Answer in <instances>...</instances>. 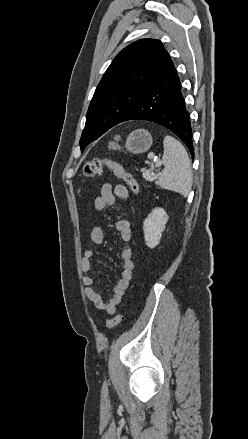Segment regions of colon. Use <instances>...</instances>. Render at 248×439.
I'll use <instances>...</instances> for the list:
<instances>
[{
	"label": "colon",
	"instance_id": "5ec220e1",
	"mask_svg": "<svg viewBox=\"0 0 248 439\" xmlns=\"http://www.w3.org/2000/svg\"><path fill=\"white\" fill-rule=\"evenodd\" d=\"M104 168L108 169L110 173L115 177L121 179L134 194L138 193L139 185L134 176L125 171L121 164L113 160L94 158L90 161H87L83 165L82 174L86 179L94 178L101 175ZM122 318L123 314L119 313L114 317L108 319L105 323V329L108 330L115 327L122 320Z\"/></svg>",
	"mask_w": 248,
	"mask_h": 439
}]
</instances>
